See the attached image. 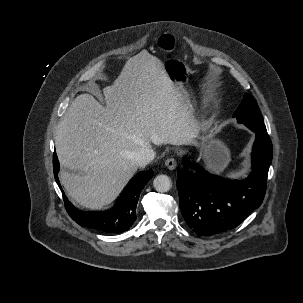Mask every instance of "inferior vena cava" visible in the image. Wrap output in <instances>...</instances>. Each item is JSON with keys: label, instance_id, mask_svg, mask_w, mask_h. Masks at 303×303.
I'll return each instance as SVG.
<instances>
[{"label": "inferior vena cava", "instance_id": "inferior-vena-cava-1", "mask_svg": "<svg viewBox=\"0 0 303 303\" xmlns=\"http://www.w3.org/2000/svg\"><path fill=\"white\" fill-rule=\"evenodd\" d=\"M155 157V152L150 148H142L134 154V160L140 167L149 164Z\"/></svg>", "mask_w": 303, "mask_h": 303}]
</instances>
